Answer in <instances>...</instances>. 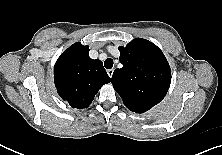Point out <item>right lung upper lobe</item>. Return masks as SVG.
<instances>
[{
    "mask_svg": "<svg viewBox=\"0 0 222 155\" xmlns=\"http://www.w3.org/2000/svg\"><path fill=\"white\" fill-rule=\"evenodd\" d=\"M59 96L73 108L90 105L98 90L111 81L100 60L89 57L88 46L77 42L59 57L54 66Z\"/></svg>",
    "mask_w": 222,
    "mask_h": 155,
    "instance_id": "1",
    "label": "right lung upper lobe"
}]
</instances>
